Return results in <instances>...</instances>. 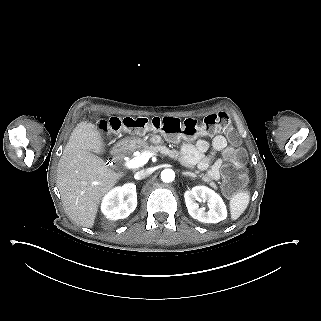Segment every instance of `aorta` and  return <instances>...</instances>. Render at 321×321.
Segmentation results:
<instances>
[{
	"mask_svg": "<svg viewBox=\"0 0 321 321\" xmlns=\"http://www.w3.org/2000/svg\"><path fill=\"white\" fill-rule=\"evenodd\" d=\"M161 179L164 182H172L175 179V173L172 169H164L161 172Z\"/></svg>",
	"mask_w": 321,
	"mask_h": 321,
	"instance_id": "762f6f07",
	"label": "aorta"
}]
</instances>
